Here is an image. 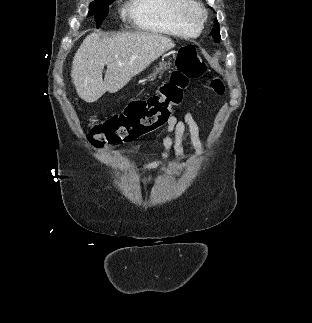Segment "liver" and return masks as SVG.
Returning <instances> with one entry per match:
<instances>
[{
    "label": "liver",
    "mask_w": 312,
    "mask_h": 323,
    "mask_svg": "<svg viewBox=\"0 0 312 323\" xmlns=\"http://www.w3.org/2000/svg\"><path fill=\"white\" fill-rule=\"evenodd\" d=\"M174 46L171 38L154 32L106 36L96 30L83 40L72 62L71 78L79 98L91 104L105 92L115 94Z\"/></svg>",
    "instance_id": "6515ba94"
}]
</instances>
